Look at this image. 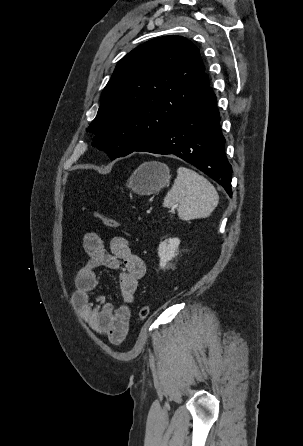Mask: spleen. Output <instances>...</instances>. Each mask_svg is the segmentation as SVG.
<instances>
[{
	"instance_id": "obj_1",
	"label": "spleen",
	"mask_w": 303,
	"mask_h": 446,
	"mask_svg": "<svg viewBox=\"0 0 303 446\" xmlns=\"http://www.w3.org/2000/svg\"><path fill=\"white\" fill-rule=\"evenodd\" d=\"M218 202L215 187L205 177L186 167H179L163 206L169 208L179 204L178 216L182 220H192L210 216Z\"/></svg>"
}]
</instances>
